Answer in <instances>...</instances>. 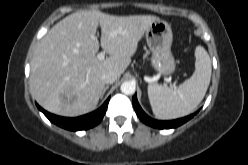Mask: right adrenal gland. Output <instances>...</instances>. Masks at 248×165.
I'll return each mask as SVG.
<instances>
[{
	"label": "right adrenal gland",
	"mask_w": 248,
	"mask_h": 165,
	"mask_svg": "<svg viewBox=\"0 0 248 165\" xmlns=\"http://www.w3.org/2000/svg\"><path fill=\"white\" fill-rule=\"evenodd\" d=\"M108 88H109V85H107V86H105V87L103 88V90H102V92H101V94H100V98H101V99L103 98V96H104V94H105V92L107 91Z\"/></svg>",
	"instance_id": "right-adrenal-gland-1"
}]
</instances>
